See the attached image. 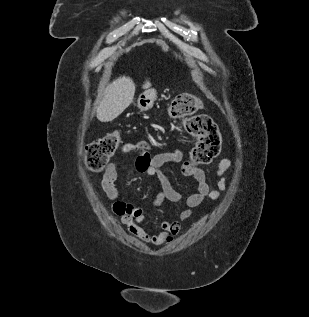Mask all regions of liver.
Masks as SVG:
<instances>
[{"instance_id":"1","label":"liver","mask_w":309,"mask_h":317,"mask_svg":"<svg viewBox=\"0 0 309 317\" xmlns=\"http://www.w3.org/2000/svg\"><path fill=\"white\" fill-rule=\"evenodd\" d=\"M151 87L146 81L144 89ZM135 84L130 77H119L104 90L103 98L97 107V118L101 122H110L117 118L133 101Z\"/></svg>"}]
</instances>
